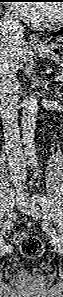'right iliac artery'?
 <instances>
[{
	"mask_svg": "<svg viewBox=\"0 0 63 297\" xmlns=\"http://www.w3.org/2000/svg\"><path fill=\"white\" fill-rule=\"evenodd\" d=\"M4 228L5 229L12 228V223H11L10 220H7L6 222H4ZM6 247H7V251L11 252V250H12L11 246L10 245H7Z\"/></svg>",
	"mask_w": 63,
	"mask_h": 297,
	"instance_id": "right-iliac-artery-1",
	"label": "right iliac artery"
}]
</instances>
